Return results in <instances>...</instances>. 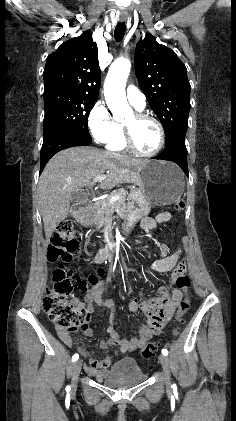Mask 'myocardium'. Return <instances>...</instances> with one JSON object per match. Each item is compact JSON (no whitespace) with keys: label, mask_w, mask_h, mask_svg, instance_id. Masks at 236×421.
<instances>
[{"label":"myocardium","mask_w":236,"mask_h":421,"mask_svg":"<svg viewBox=\"0 0 236 421\" xmlns=\"http://www.w3.org/2000/svg\"><path fill=\"white\" fill-rule=\"evenodd\" d=\"M134 116H135L136 119L149 120L156 126V128L158 130V135H159L158 144H157V147L152 152H142V151H140L136 147V145L134 144V141L132 139L131 132H130V129H129L128 125L123 123L122 128H123V138H124L125 145L127 146L128 149H130L132 152H134L135 154H137L141 157H154V156H156L157 154L160 153V151L162 150V148L165 144V130L163 128V125L155 117H153L151 115H148L146 113L140 112V111H136L134 113Z\"/></svg>","instance_id":"1"}]
</instances>
